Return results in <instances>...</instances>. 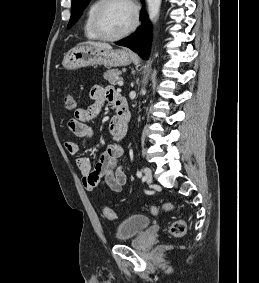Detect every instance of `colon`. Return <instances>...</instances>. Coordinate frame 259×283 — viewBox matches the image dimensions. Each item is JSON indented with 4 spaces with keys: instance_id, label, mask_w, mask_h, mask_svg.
Listing matches in <instances>:
<instances>
[{
    "instance_id": "colon-1",
    "label": "colon",
    "mask_w": 259,
    "mask_h": 283,
    "mask_svg": "<svg viewBox=\"0 0 259 283\" xmlns=\"http://www.w3.org/2000/svg\"><path fill=\"white\" fill-rule=\"evenodd\" d=\"M64 104L67 110L75 109L77 104L75 96L72 93H67L64 96ZM172 209H173V204L171 202H166L161 206V208H158L156 206H151L149 208V211L151 212V214L157 215L160 211L168 212L171 211ZM103 214L105 218L108 220L115 219V213L109 207H105L103 209ZM185 231H186V222L182 218L175 220L169 227V234L173 237H180L184 235Z\"/></svg>"
}]
</instances>
